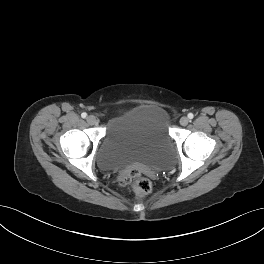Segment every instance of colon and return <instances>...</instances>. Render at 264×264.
<instances>
[{
  "mask_svg": "<svg viewBox=\"0 0 264 264\" xmlns=\"http://www.w3.org/2000/svg\"><path fill=\"white\" fill-rule=\"evenodd\" d=\"M126 183H129L133 190L140 194H148L151 191V182L149 179L141 176L137 171H132L125 179Z\"/></svg>",
  "mask_w": 264,
  "mask_h": 264,
  "instance_id": "colon-1",
  "label": "colon"
}]
</instances>
